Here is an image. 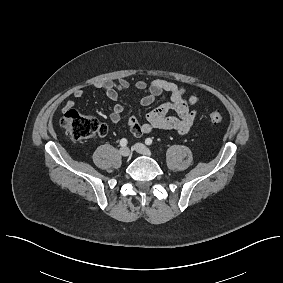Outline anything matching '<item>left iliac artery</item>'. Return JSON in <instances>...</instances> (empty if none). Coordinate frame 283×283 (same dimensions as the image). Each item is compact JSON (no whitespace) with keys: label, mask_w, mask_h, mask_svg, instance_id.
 <instances>
[{"label":"left iliac artery","mask_w":283,"mask_h":283,"mask_svg":"<svg viewBox=\"0 0 283 283\" xmlns=\"http://www.w3.org/2000/svg\"><path fill=\"white\" fill-rule=\"evenodd\" d=\"M145 144H146V145H151V144H152V139H151V138H147V139L145 140Z\"/></svg>","instance_id":"obj_1"}]
</instances>
